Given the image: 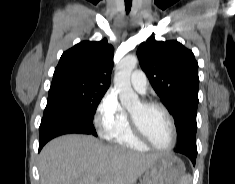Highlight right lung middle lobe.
Returning a JSON list of instances; mask_svg holds the SVG:
<instances>
[{
  "label": "right lung middle lobe",
  "mask_w": 235,
  "mask_h": 184,
  "mask_svg": "<svg viewBox=\"0 0 235 184\" xmlns=\"http://www.w3.org/2000/svg\"><path fill=\"white\" fill-rule=\"evenodd\" d=\"M107 89L102 86L70 84L49 91V97L70 104L85 117L93 120L96 108Z\"/></svg>",
  "instance_id": "1"
}]
</instances>
